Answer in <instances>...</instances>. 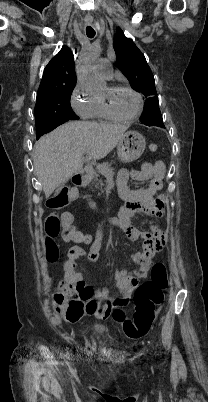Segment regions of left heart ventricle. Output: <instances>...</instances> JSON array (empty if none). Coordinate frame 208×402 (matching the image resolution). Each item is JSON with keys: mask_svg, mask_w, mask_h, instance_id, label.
<instances>
[{"mask_svg": "<svg viewBox=\"0 0 208 402\" xmlns=\"http://www.w3.org/2000/svg\"><path fill=\"white\" fill-rule=\"evenodd\" d=\"M105 90V87L98 93L101 94ZM114 110L123 116L133 115L138 108L137 97L124 89H120L114 92L111 98Z\"/></svg>", "mask_w": 208, "mask_h": 402, "instance_id": "left-heart-ventricle-1", "label": "left heart ventricle"}]
</instances>
